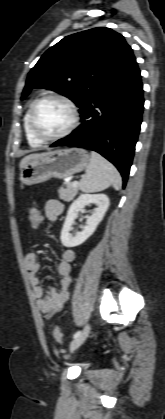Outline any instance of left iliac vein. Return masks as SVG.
I'll list each match as a JSON object with an SVG mask.
<instances>
[{
	"label": "left iliac vein",
	"instance_id": "obj_1",
	"mask_svg": "<svg viewBox=\"0 0 165 419\" xmlns=\"http://www.w3.org/2000/svg\"><path fill=\"white\" fill-rule=\"evenodd\" d=\"M90 333V325L87 324L85 326V328L83 329V331L80 333V335L78 337H76L69 345V351L73 352L75 351L78 347H80L85 340L87 339V337L89 336Z\"/></svg>",
	"mask_w": 165,
	"mask_h": 419
}]
</instances>
